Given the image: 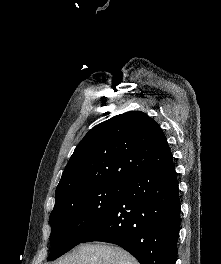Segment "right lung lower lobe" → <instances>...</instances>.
Instances as JSON below:
<instances>
[{"label":"right lung lower lobe","mask_w":221,"mask_h":264,"mask_svg":"<svg viewBox=\"0 0 221 264\" xmlns=\"http://www.w3.org/2000/svg\"><path fill=\"white\" fill-rule=\"evenodd\" d=\"M179 215L178 181L171 160L127 180L113 209L81 243L119 245L140 264H175Z\"/></svg>","instance_id":"obj_1"}]
</instances>
